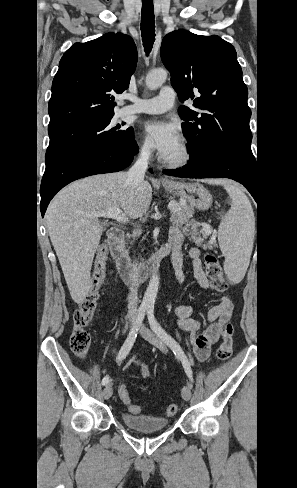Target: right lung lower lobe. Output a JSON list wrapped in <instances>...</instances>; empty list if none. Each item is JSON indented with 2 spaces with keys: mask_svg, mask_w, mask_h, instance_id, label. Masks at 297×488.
Instances as JSON below:
<instances>
[{
  "mask_svg": "<svg viewBox=\"0 0 297 488\" xmlns=\"http://www.w3.org/2000/svg\"><path fill=\"white\" fill-rule=\"evenodd\" d=\"M138 152L134 139L84 147L67 153L46 166L40 187L42 217L55 194L70 182L128 167Z\"/></svg>",
  "mask_w": 297,
  "mask_h": 488,
  "instance_id": "98d812e1",
  "label": "right lung lower lobe"
}]
</instances>
